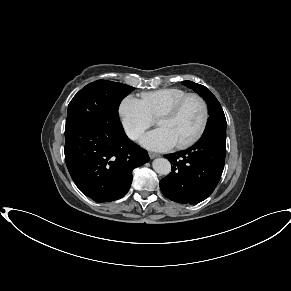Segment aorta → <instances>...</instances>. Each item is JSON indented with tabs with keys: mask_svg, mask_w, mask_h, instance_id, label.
I'll use <instances>...</instances> for the list:
<instances>
[{
	"mask_svg": "<svg viewBox=\"0 0 291 291\" xmlns=\"http://www.w3.org/2000/svg\"><path fill=\"white\" fill-rule=\"evenodd\" d=\"M153 169L160 175H168L171 172V164L165 158H157L152 163Z\"/></svg>",
	"mask_w": 291,
	"mask_h": 291,
	"instance_id": "1",
	"label": "aorta"
}]
</instances>
